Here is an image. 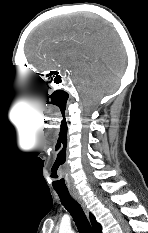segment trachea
Segmentation results:
<instances>
[{"label": "trachea", "instance_id": "1", "mask_svg": "<svg viewBox=\"0 0 148 233\" xmlns=\"http://www.w3.org/2000/svg\"><path fill=\"white\" fill-rule=\"evenodd\" d=\"M62 205L68 210L78 228L79 233H94L82 207L68 191H56Z\"/></svg>", "mask_w": 148, "mask_h": 233}]
</instances>
